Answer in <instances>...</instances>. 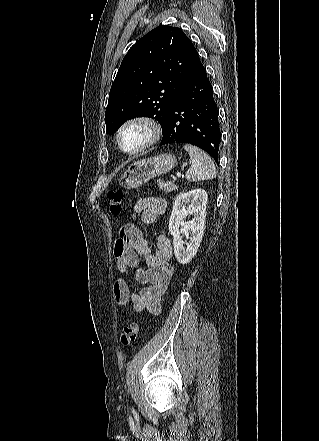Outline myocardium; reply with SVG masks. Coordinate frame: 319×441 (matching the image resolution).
<instances>
[{
	"mask_svg": "<svg viewBox=\"0 0 319 441\" xmlns=\"http://www.w3.org/2000/svg\"><path fill=\"white\" fill-rule=\"evenodd\" d=\"M136 126L142 127L146 131V138L144 142L136 148H125L122 141L123 134L128 129ZM161 133V126L156 119L150 116L139 115L131 117L121 124L116 133V142L122 152L129 155H136L156 144L161 137Z\"/></svg>",
	"mask_w": 319,
	"mask_h": 441,
	"instance_id": "myocardium-1",
	"label": "myocardium"
}]
</instances>
